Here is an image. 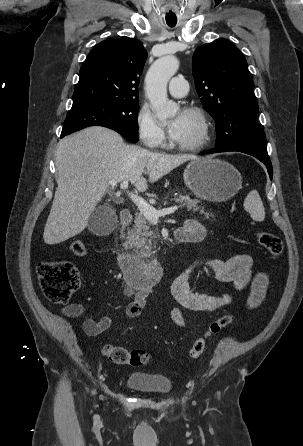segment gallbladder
I'll use <instances>...</instances> for the list:
<instances>
[{"instance_id": "1", "label": "gallbladder", "mask_w": 303, "mask_h": 446, "mask_svg": "<svg viewBox=\"0 0 303 446\" xmlns=\"http://www.w3.org/2000/svg\"><path fill=\"white\" fill-rule=\"evenodd\" d=\"M117 222L113 209L107 206L96 208L89 217L88 229L94 234L103 235L113 230Z\"/></svg>"}]
</instances>
